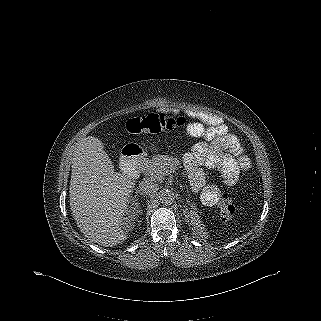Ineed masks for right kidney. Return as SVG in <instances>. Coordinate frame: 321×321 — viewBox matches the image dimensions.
Wrapping results in <instances>:
<instances>
[{
    "instance_id": "ca27d5eb",
    "label": "right kidney",
    "mask_w": 321,
    "mask_h": 321,
    "mask_svg": "<svg viewBox=\"0 0 321 321\" xmlns=\"http://www.w3.org/2000/svg\"><path fill=\"white\" fill-rule=\"evenodd\" d=\"M128 218H130V219L127 220V222L129 221V223H130V221H132V218H134V215H129ZM126 219H127V218H126ZM130 226H131V228H133L131 224H130Z\"/></svg>"
}]
</instances>
